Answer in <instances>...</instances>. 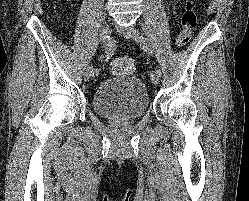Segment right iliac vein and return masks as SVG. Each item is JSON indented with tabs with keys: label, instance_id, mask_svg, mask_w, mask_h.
Wrapping results in <instances>:
<instances>
[{
	"label": "right iliac vein",
	"instance_id": "obj_1",
	"mask_svg": "<svg viewBox=\"0 0 249 201\" xmlns=\"http://www.w3.org/2000/svg\"><path fill=\"white\" fill-rule=\"evenodd\" d=\"M111 31H112V28L110 25H106L103 28L102 33H101V41L103 43L107 42V38L109 37ZM91 71H92L91 66L87 67V69L85 70V72H84V80L85 81H89V79L91 78V76H92Z\"/></svg>",
	"mask_w": 249,
	"mask_h": 201
}]
</instances>
